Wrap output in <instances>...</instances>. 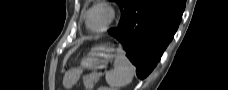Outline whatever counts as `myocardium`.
<instances>
[{"label":"myocardium","mask_w":228,"mask_h":90,"mask_svg":"<svg viewBox=\"0 0 228 90\" xmlns=\"http://www.w3.org/2000/svg\"><path fill=\"white\" fill-rule=\"evenodd\" d=\"M96 8H103L108 12V19H107L105 25L98 30L92 29L89 25L90 14ZM115 17H116V10L110 3L105 2V1H98L97 3H95L93 6H91L88 9V11L86 13L85 24L89 31L94 32V33H101V32L106 31L112 25V23L115 20Z\"/></svg>","instance_id":"obj_1"}]
</instances>
